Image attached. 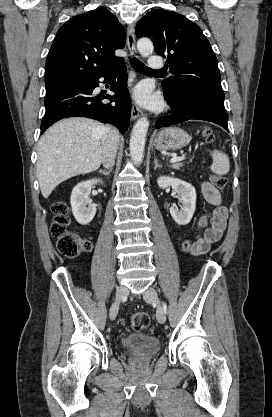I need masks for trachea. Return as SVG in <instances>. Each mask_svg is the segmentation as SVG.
<instances>
[{
    "label": "trachea",
    "mask_w": 272,
    "mask_h": 417,
    "mask_svg": "<svg viewBox=\"0 0 272 417\" xmlns=\"http://www.w3.org/2000/svg\"><path fill=\"white\" fill-rule=\"evenodd\" d=\"M131 66L133 67V69H135L136 71L140 72V73H164L165 71L163 70H153L150 69L149 67H147L146 65H144L140 60H138L137 58H131Z\"/></svg>",
    "instance_id": "1"
}]
</instances>
